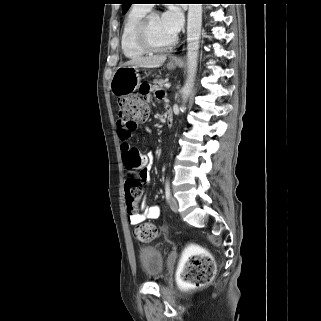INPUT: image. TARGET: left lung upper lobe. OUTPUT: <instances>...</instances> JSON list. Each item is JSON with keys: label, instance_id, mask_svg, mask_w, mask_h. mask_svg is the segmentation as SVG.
Listing matches in <instances>:
<instances>
[{"label": "left lung upper lobe", "instance_id": "obj_1", "mask_svg": "<svg viewBox=\"0 0 321 321\" xmlns=\"http://www.w3.org/2000/svg\"><path fill=\"white\" fill-rule=\"evenodd\" d=\"M122 1V11L126 13L130 5L133 3V0H121Z\"/></svg>", "mask_w": 321, "mask_h": 321}]
</instances>
